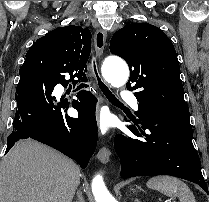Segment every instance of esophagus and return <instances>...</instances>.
Returning <instances> with one entry per match:
<instances>
[{
	"label": "esophagus",
	"instance_id": "1",
	"mask_svg": "<svg viewBox=\"0 0 209 202\" xmlns=\"http://www.w3.org/2000/svg\"><path fill=\"white\" fill-rule=\"evenodd\" d=\"M94 44L96 50V57L101 58L103 50L106 45V32L98 29L94 35ZM98 159L101 163L107 164L110 161L111 152L108 148L102 147L98 152Z\"/></svg>",
	"mask_w": 209,
	"mask_h": 202
}]
</instances>
